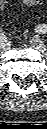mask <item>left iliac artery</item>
<instances>
[{"instance_id":"left-iliac-artery-1","label":"left iliac artery","mask_w":47,"mask_h":129,"mask_svg":"<svg viewBox=\"0 0 47 129\" xmlns=\"http://www.w3.org/2000/svg\"><path fill=\"white\" fill-rule=\"evenodd\" d=\"M46 31H47V27H46V25H44V24L39 25V26L36 28V32H37L38 34H44V33H46Z\"/></svg>"}]
</instances>
